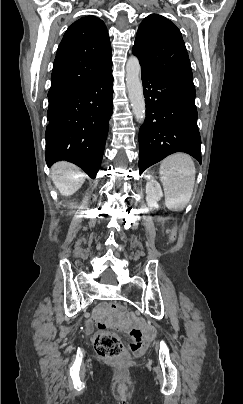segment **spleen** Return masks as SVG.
<instances>
[{
    "label": "spleen",
    "instance_id": "obj_1",
    "mask_svg": "<svg viewBox=\"0 0 243 404\" xmlns=\"http://www.w3.org/2000/svg\"><path fill=\"white\" fill-rule=\"evenodd\" d=\"M160 178L164 188L168 210H183L189 204L195 184V166L188 154H172L160 166Z\"/></svg>",
    "mask_w": 243,
    "mask_h": 404
}]
</instances>
